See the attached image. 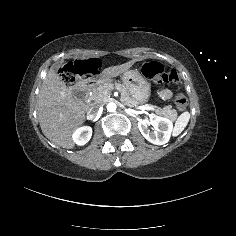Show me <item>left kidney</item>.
Segmentation results:
<instances>
[{
	"label": "left kidney",
	"mask_w": 236,
	"mask_h": 236,
	"mask_svg": "<svg viewBox=\"0 0 236 236\" xmlns=\"http://www.w3.org/2000/svg\"><path fill=\"white\" fill-rule=\"evenodd\" d=\"M148 124L154 127V131L148 128ZM138 128L143 137L149 142L155 145H163L170 139L173 123L167 118L152 113L149 115V121L144 119L138 122Z\"/></svg>",
	"instance_id": "left-kidney-1"
}]
</instances>
